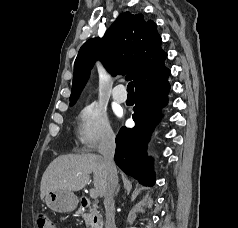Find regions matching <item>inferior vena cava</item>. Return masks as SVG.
Here are the masks:
<instances>
[{
	"label": "inferior vena cava",
	"instance_id": "1",
	"mask_svg": "<svg viewBox=\"0 0 238 228\" xmlns=\"http://www.w3.org/2000/svg\"><path fill=\"white\" fill-rule=\"evenodd\" d=\"M115 148V135L113 133L106 134L99 144V153L104 160L108 172L106 190L104 194L106 216L105 228H116L113 197L118 184V176L116 165L114 163Z\"/></svg>",
	"mask_w": 238,
	"mask_h": 228
}]
</instances>
